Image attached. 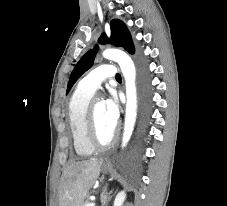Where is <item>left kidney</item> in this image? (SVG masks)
Masks as SVG:
<instances>
[{
	"instance_id": "1",
	"label": "left kidney",
	"mask_w": 227,
	"mask_h": 206,
	"mask_svg": "<svg viewBox=\"0 0 227 206\" xmlns=\"http://www.w3.org/2000/svg\"><path fill=\"white\" fill-rule=\"evenodd\" d=\"M126 194L124 191L119 192L114 200L113 206H122L123 202L125 201Z\"/></svg>"
}]
</instances>
